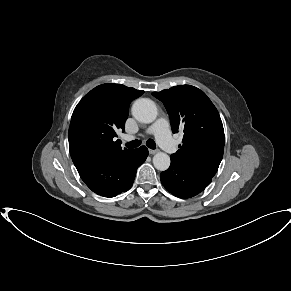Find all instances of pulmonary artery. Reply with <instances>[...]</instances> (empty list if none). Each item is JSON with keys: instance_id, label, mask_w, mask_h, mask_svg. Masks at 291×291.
I'll use <instances>...</instances> for the list:
<instances>
[{"instance_id": "obj_1", "label": "pulmonary artery", "mask_w": 291, "mask_h": 291, "mask_svg": "<svg viewBox=\"0 0 291 291\" xmlns=\"http://www.w3.org/2000/svg\"><path fill=\"white\" fill-rule=\"evenodd\" d=\"M153 134L159 145L168 153L173 154L177 151V144L170 135L169 123L165 118L157 119L146 131ZM134 137L126 135L125 140H132Z\"/></svg>"}]
</instances>
